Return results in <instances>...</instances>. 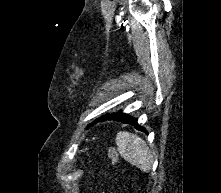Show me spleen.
<instances>
[{
    "instance_id": "spleen-1",
    "label": "spleen",
    "mask_w": 221,
    "mask_h": 193,
    "mask_svg": "<svg viewBox=\"0 0 221 193\" xmlns=\"http://www.w3.org/2000/svg\"><path fill=\"white\" fill-rule=\"evenodd\" d=\"M116 144L120 155L129 163L148 172L152 167V156L145 141L135 134L126 131L119 132Z\"/></svg>"
}]
</instances>
